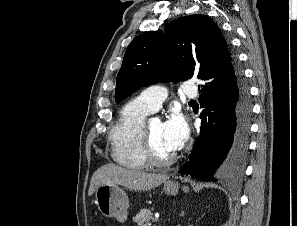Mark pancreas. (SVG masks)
<instances>
[{"mask_svg":"<svg viewBox=\"0 0 297 226\" xmlns=\"http://www.w3.org/2000/svg\"><path fill=\"white\" fill-rule=\"evenodd\" d=\"M153 219V214L149 209H142L134 218L133 221L138 226H148L150 223V220Z\"/></svg>","mask_w":297,"mask_h":226,"instance_id":"1","label":"pancreas"}]
</instances>
